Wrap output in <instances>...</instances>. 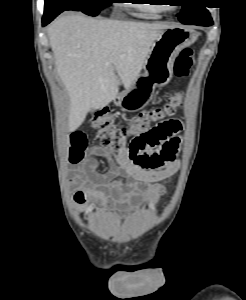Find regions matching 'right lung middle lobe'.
<instances>
[{
  "mask_svg": "<svg viewBox=\"0 0 246 300\" xmlns=\"http://www.w3.org/2000/svg\"><path fill=\"white\" fill-rule=\"evenodd\" d=\"M111 4V0H45L44 16H50L59 11L75 10L96 16L100 10Z\"/></svg>",
  "mask_w": 246,
  "mask_h": 300,
  "instance_id": "dd1d6c3e",
  "label": "right lung middle lobe"
}]
</instances>
